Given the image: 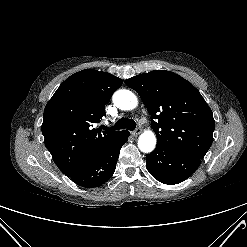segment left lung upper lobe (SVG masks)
Listing matches in <instances>:
<instances>
[{"mask_svg":"<svg viewBox=\"0 0 247 247\" xmlns=\"http://www.w3.org/2000/svg\"><path fill=\"white\" fill-rule=\"evenodd\" d=\"M141 97L151 115L157 144L203 159L214 132L210 107L199 91L181 76L151 71L125 80Z\"/></svg>","mask_w":247,"mask_h":247,"instance_id":"5c2ea615","label":"left lung upper lobe"}]
</instances>
